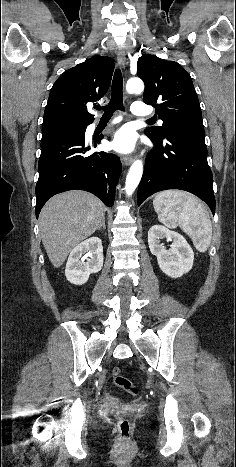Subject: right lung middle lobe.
I'll return each mask as SVG.
<instances>
[{"instance_id": "1", "label": "right lung middle lobe", "mask_w": 236, "mask_h": 467, "mask_svg": "<svg viewBox=\"0 0 236 467\" xmlns=\"http://www.w3.org/2000/svg\"><path fill=\"white\" fill-rule=\"evenodd\" d=\"M85 131L86 127L62 128L49 131H42L41 142L70 135H84Z\"/></svg>"}]
</instances>
